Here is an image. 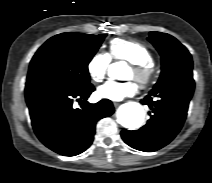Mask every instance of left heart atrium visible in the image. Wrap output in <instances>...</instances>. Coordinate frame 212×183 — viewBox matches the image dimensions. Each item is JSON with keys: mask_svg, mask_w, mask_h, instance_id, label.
<instances>
[{"mask_svg": "<svg viewBox=\"0 0 212 183\" xmlns=\"http://www.w3.org/2000/svg\"><path fill=\"white\" fill-rule=\"evenodd\" d=\"M137 91V86L135 83L128 82H116L108 81L107 83L101 85L97 90V95L100 98L120 101L126 97L133 96Z\"/></svg>", "mask_w": 212, "mask_h": 183, "instance_id": "39dd6f15", "label": "left heart atrium"}]
</instances>
